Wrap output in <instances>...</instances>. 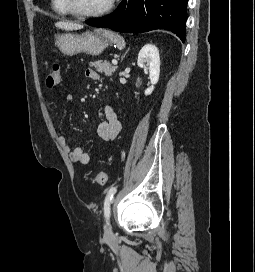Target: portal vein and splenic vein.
Masks as SVG:
<instances>
[{"label": "portal vein and splenic vein", "instance_id": "portal-vein-and-splenic-vein-1", "mask_svg": "<svg viewBox=\"0 0 255 272\" xmlns=\"http://www.w3.org/2000/svg\"><path fill=\"white\" fill-rule=\"evenodd\" d=\"M112 63H113L114 65H116V64H117V60H116V59H113V60H112Z\"/></svg>", "mask_w": 255, "mask_h": 272}]
</instances>
